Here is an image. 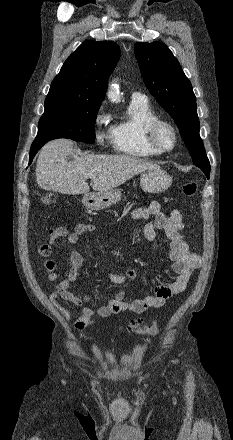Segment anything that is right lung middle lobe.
I'll list each match as a JSON object with an SVG mask.
<instances>
[{
  "label": "right lung middle lobe",
  "instance_id": "1",
  "mask_svg": "<svg viewBox=\"0 0 233 440\" xmlns=\"http://www.w3.org/2000/svg\"><path fill=\"white\" fill-rule=\"evenodd\" d=\"M101 103L79 101L45 102L36 141L68 138L92 144L95 142L94 125Z\"/></svg>",
  "mask_w": 233,
  "mask_h": 440
}]
</instances>
